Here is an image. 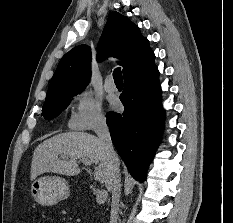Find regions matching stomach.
<instances>
[{"instance_id":"0dacf381","label":"stomach","mask_w":233,"mask_h":223,"mask_svg":"<svg viewBox=\"0 0 233 223\" xmlns=\"http://www.w3.org/2000/svg\"><path fill=\"white\" fill-rule=\"evenodd\" d=\"M30 191L40 205H56L71 195L69 181L59 175H42L33 179Z\"/></svg>"}]
</instances>
